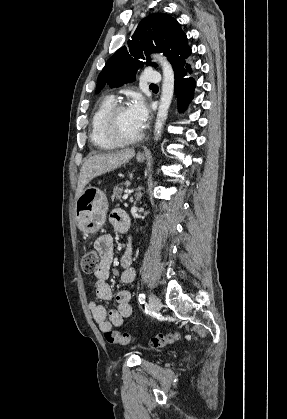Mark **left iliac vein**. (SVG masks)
<instances>
[{
    "label": "left iliac vein",
    "instance_id": "left-iliac-vein-1",
    "mask_svg": "<svg viewBox=\"0 0 287 419\" xmlns=\"http://www.w3.org/2000/svg\"><path fill=\"white\" fill-rule=\"evenodd\" d=\"M162 304L161 301L158 297H156L155 295L151 294L149 296V308L152 312L154 313H159L161 310Z\"/></svg>",
    "mask_w": 287,
    "mask_h": 419
}]
</instances>
